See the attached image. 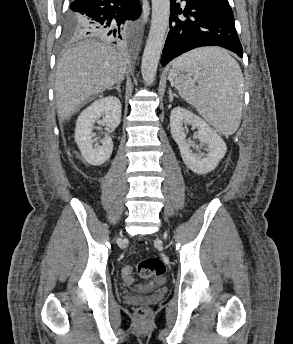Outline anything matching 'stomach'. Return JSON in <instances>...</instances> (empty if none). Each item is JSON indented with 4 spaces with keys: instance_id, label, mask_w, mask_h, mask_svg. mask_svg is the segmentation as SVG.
<instances>
[{
    "instance_id": "1",
    "label": "stomach",
    "mask_w": 293,
    "mask_h": 344,
    "mask_svg": "<svg viewBox=\"0 0 293 344\" xmlns=\"http://www.w3.org/2000/svg\"><path fill=\"white\" fill-rule=\"evenodd\" d=\"M182 76V70L179 69L175 64H173V67L169 71V79L176 80L177 78H180Z\"/></svg>"
}]
</instances>
